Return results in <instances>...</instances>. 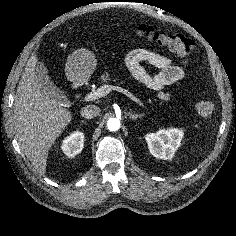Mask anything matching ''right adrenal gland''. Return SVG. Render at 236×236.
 I'll list each match as a JSON object with an SVG mask.
<instances>
[{
	"label": "right adrenal gland",
	"mask_w": 236,
	"mask_h": 236,
	"mask_svg": "<svg viewBox=\"0 0 236 236\" xmlns=\"http://www.w3.org/2000/svg\"><path fill=\"white\" fill-rule=\"evenodd\" d=\"M82 123H85V124H86V121L83 120Z\"/></svg>",
	"instance_id": "1"
}]
</instances>
